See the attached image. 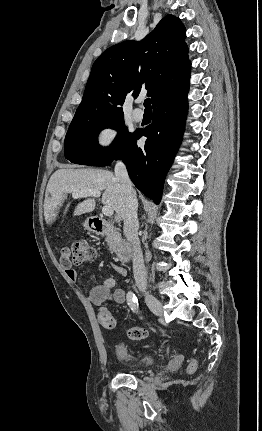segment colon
<instances>
[{"instance_id": "obj_1", "label": "colon", "mask_w": 262, "mask_h": 431, "mask_svg": "<svg viewBox=\"0 0 262 431\" xmlns=\"http://www.w3.org/2000/svg\"><path fill=\"white\" fill-rule=\"evenodd\" d=\"M95 249L85 241L79 240L71 242L62 248V256L65 260L73 263L81 264L93 260ZM99 322L105 329H113L115 327V320L111 314L103 310L99 314ZM128 337L131 340H144L147 337V331L138 326H133L128 330ZM197 360L193 359L189 362L187 367L188 373L195 372L197 368Z\"/></svg>"}]
</instances>
